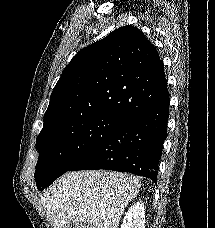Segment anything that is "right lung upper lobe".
Wrapping results in <instances>:
<instances>
[{
    "mask_svg": "<svg viewBox=\"0 0 215 228\" xmlns=\"http://www.w3.org/2000/svg\"><path fill=\"white\" fill-rule=\"evenodd\" d=\"M164 66L142 31L126 25L81 49L51 94L40 133L98 115L126 118L166 98Z\"/></svg>",
    "mask_w": 215,
    "mask_h": 228,
    "instance_id": "right-lung-upper-lobe-1",
    "label": "right lung upper lobe"
}]
</instances>
